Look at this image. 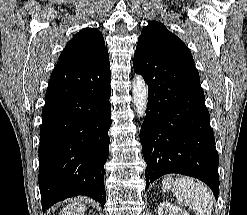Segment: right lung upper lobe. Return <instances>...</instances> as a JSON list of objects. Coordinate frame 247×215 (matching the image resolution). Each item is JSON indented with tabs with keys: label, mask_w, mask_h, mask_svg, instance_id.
Listing matches in <instances>:
<instances>
[{
	"label": "right lung upper lobe",
	"mask_w": 247,
	"mask_h": 215,
	"mask_svg": "<svg viewBox=\"0 0 247 215\" xmlns=\"http://www.w3.org/2000/svg\"><path fill=\"white\" fill-rule=\"evenodd\" d=\"M106 53L108 51L101 32L94 28H84L67 43L58 62L86 65Z\"/></svg>",
	"instance_id": "obj_1"
}]
</instances>
